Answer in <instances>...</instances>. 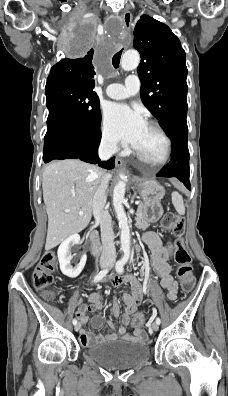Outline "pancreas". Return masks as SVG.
Returning a JSON list of instances; mask_svg holds the SVG:
<instances>
[{"label": "pancreas", "mask_w": 228, "mask_h": 396, "mask_svg": "<svg viewBox=\"0 0 228 396\" xmlns=\"http://www.w3.org/2000/svg\"><path fill=\"white\" fill-rule=\"evenodd\" d=\"M140 207H141V204L139 205V207H138L137 209H135V212H137V213H143V212H144V209H143V208H140ZM136 219H137V226L139 227V229H146V227L149 226V223L147 222L146 219H144V216H142V215H137V216H136Z\"/></svg>", "instance_id": "1"}]
</instances>
